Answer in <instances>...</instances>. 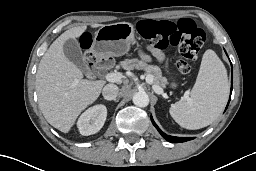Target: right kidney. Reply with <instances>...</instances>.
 <instances>
[{"label": "right kidney", "mask_w": 256, "mask_h": 171, "mask_svg": "<svg viewBox=\"0 0 256 171\" xmlns=\"http://www.w3.org/2000/svg\"><path fill=\"white\" fill-rule=\"evenodd\" d=\"M107 117V108L104 105H95L87 109L78 119L77 126L83 136L97 133L104 125Z\"/></svg>", "instance_id": "obj_1"}]
</instances>
